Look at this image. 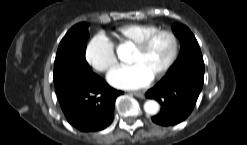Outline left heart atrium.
<instances>
[{"mask_svg":"<svg viewBox=\"0 0 247 145\" xmlns=\"http://www.w3.org/2000/svg\"><path fill=\"white\" fill-rule=\"evenodd\" d=\"M153 76L140 64L119 66L108 74V81L122 89H138L149 84Z\"/></svg>","mask_w":247,"mask_h":145,"instance_id":"obj_1","label":"left heart atrium"}]
</instances>
